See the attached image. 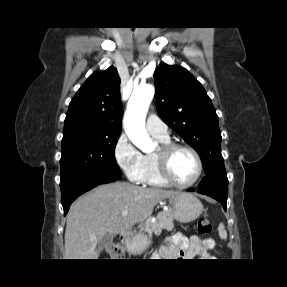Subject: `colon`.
<instances>
[{
	"instance_id": "5ec220e1",
	"label": "colon",
	"mask_w": 287,
	"mask_h": 287,
	"mask_svg": "<svg viewBox=\"0 0 287 287\" xmlns=\"http://www.w3.org/2000/svg\"><path fill=\"white\" fill-rule=\"evenodd\" d=\"M212 226L210 221L207 218H200L197 224L198 235L205 239L211 232Z\"/></svg>"
}]
</instances>
